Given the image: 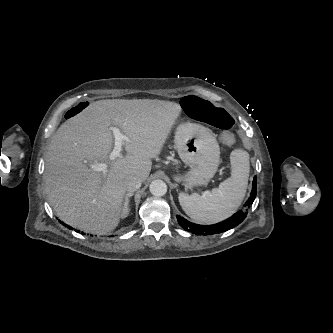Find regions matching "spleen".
I'll return each mask as SVG.
<instances>
[{"label":"spleen","instance_id":"obj_1","mask_svg":"<svg viewBox=\"0 0 333 333\" xmlns=\"http://www.w3.org/2000/svg\"><path fill=\"white\" fill-rule=\"evenodd\" d=\"M231 177L220 183L218 188L199 194L180 193L179 203L184 212L201 224H212L231 216L241 205L249 178V154L235 149L230 154Z\"/></svg>","mask_w":333,"mask_h":333}]
</instances>
